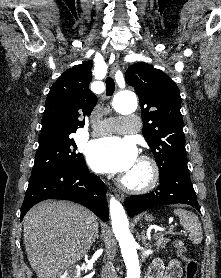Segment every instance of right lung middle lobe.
Returning a JSON list of instances; mask_svg holds the SVG:
<instances>
[{
	"label": "right lung middle lobe",
	"mask_w": 221,
	"mask_h": 278,
	"mask_svg": "<svg viewBox=\"0 0 221 278\" xmlns=\"http://www.w3.org/2000/svg\"><path fill=\"white\" fill-rule=\"evenodd\" d=\"M75 151L76 143L69 136L40 141L30 180L55 169L83 166V155Z\"/></svg>",
	"instance_id": "dd1d6c3e"
}]
</instances>
